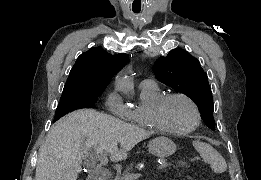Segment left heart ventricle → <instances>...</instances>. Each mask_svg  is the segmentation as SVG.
Masks as SVG:
<instances>
[{"instance_id": "obj_1", "label": "left heart ventricle", "mask_w": 261, "mask_h": 180, "mask_svg": "<svg viewBox=\"0 0 261 180\" xmlns=\"http://www.w3.org/2000/svg\"><path fill=\"white\" fill-rule=\"evenodd\" d=\"M152 117L159 121L166 131L182 132L193 124L194 111L184 100L172 99Z\"/></svg>"}]
</instances>
